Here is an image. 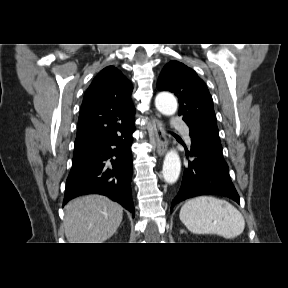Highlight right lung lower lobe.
Segmentation results:
<instances>
[{
	"label": "right lung lower lobe",
	"instance_id": "98d812e1",
	"mask_svg": "<svg viewBox=\"0 0 288 288\" xmlns=\"http://www.w3.org/2000/svg\"><path fill=\"white\" fill-rule=\"evenodd\" d=\"M130 127L90 151L73 157L63 204L84 194H102L120 203L134 217L131 194L132 133Z\"/></svg>",
	"mask_w": 288,
	"mask_h": 288
}]
</instances>
